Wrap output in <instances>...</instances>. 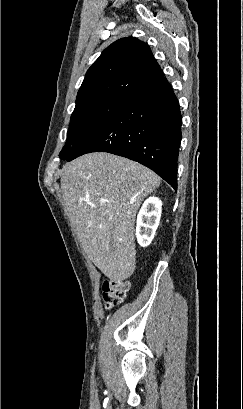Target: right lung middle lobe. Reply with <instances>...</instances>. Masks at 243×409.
Masks as SVG:
<instances>
[{"label": "right lung middle lobe", "instance_id": "obj_1", "mask_svg": "<svg viewBox=\"0 0 243 409\" xmlns=\"http://www.w3.org/2000/svg\"><path fill=\"white\" fill-rule=\"evenodd\" d=\"M124 100L105 98L77 103L71 115L67 142L59 157L66 159L76 147L108 121Z\"/></svg>", "mask_w": 243, "mask_h": 409}]
</instances>
